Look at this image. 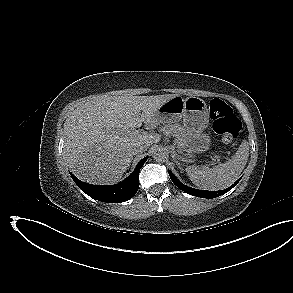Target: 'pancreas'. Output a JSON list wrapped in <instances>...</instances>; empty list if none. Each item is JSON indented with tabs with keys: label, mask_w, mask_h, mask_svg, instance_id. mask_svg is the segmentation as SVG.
<instances>
[{
	"label": "pancreas",
	"mask_w": 293,
	"mask_h": 293,
	"mask_svg": "<svg viewBox=\"0 0 293 293\" xmlns=\"http://www.w3.org/2000/svg\"><path fill=\"white\" fill-rule=\"evenodd\" d=\"M164 134L175 137V144L179 149H185L187 144L186 129L179 123L168 124L162 128Z\"/></svg>",
	"instance_id": "pancreas-1"
}]
</instances>
